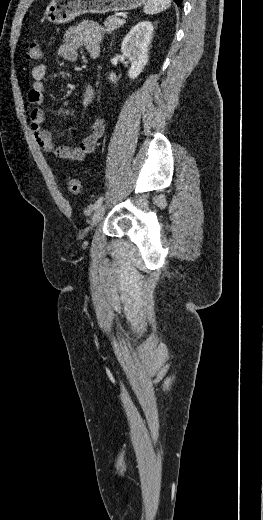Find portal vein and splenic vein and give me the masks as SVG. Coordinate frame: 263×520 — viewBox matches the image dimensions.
<instances>
[{"instance_id":"18ae733b","label":"portal vein and splenic vein","mask_w":263,"mask_h":520,"mask_svg":"<svg viewBox=\"0 0 263 520\" xmlns=\"http://www.w3.org/2000/svg\"><path fill=\"white\" fill-rule=\"evenodd\" d=\"M118 23H119V24H124V23H125V19H119V20H118Z\"/></svg>"}]
</instances>
